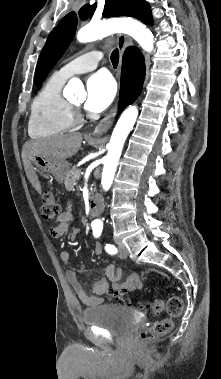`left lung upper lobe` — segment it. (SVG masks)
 Wrapping results in <instances>:
<instances>
[{
	"label": "left lung upper lobe",
	"instance_id": "1",
	"mask_svg": "<svg viewBox=\"0 0 221 379\" xmlns=\"http://www.w3.org/2000/svg\"><path fill=\"white\" fill-rule=\"evenodd\" d=\"M145 0H106L103 16H132L141 19L143 14L149 9ZM96 9V4L83 6L78 16L81 19L91 17ZM77 14L70 12L53 29L44 45L35 71V83L40 88L50 70L62 57L71 40L73 39L77 27Z\"/></svg>",
	"mask_w": 221,
	"mask_h": 379
}]
</instances>
